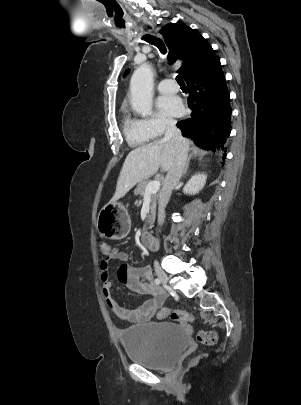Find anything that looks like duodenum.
Returning <instances> with one entry per match:
<instances>
[{"mask_svg": "<svg viewBox=\"0 0 301 405\" xmlns=\"http://www.w3.org/2000/svg\"><path fill=\"white\" fill-rule=\"evenodd\" d=\"M142 242L149 249H152V250L157 249V242H156L154 236L149 232H144L142 234Z\"/></svg>", "mask_w": 301, "mask_h": 405, "instance_id": "duodenum-1", "label": "duodenum"}]
</instances>
